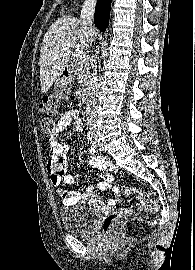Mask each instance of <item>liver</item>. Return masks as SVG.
Wrapping results in <instances>:
<instances>
[{
	"mask_svg": "<svg viewBox=\"0 0 195 270\" xmlns=\"http://www.w3.org/2000/svg\"><path fill=\"white\" fill-rule=\"evenodd\" d=\"M97 35L72 16L58 18L46 32L40 49L41 91L46 93L67 66L72 49L86 50Z\"/></svg>",
	"mask_w": 195,
	"mask_h": 270,
	"instance_id": "obj_1",
	"label": "liver"
}]
</instances>
